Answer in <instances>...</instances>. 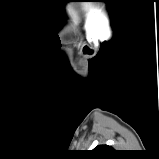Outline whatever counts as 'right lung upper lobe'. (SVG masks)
I'll use <instances>...</instances> for the list:
<instances>
[{"mask_svg":"<svg viewBox=\"0 0 159 159\" xmlns=\"http://www.w3.org/2000/svg\"><path fill=\"white\" fill-rule=\"evenodd\" d=\"M93 151L101 154V153L113 151V148L107 145H100V146H97L95 149H93Z\"/></svg>","mask_w":159,"mask_h":159,"instance_id":"right-lung-upper-lobe-1","label":"right lung upper lobe"}]
</instances>
